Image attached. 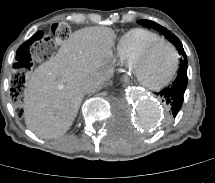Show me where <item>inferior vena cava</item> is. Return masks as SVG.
Listing matches in <instances>:
<instances>
[{
    "label": "inferior vena cava",
    "mask_w": 215,
    "mask_h": 183,
    "mask_svg": "<svg viewBox=\"0 0 215 183\" xmlns=\"http://www.w3.org/2000/svg\"><path fill=\"white\" fill-rule=\"evenodd\" d=\"M103 81H104V77H101L100 79L95 80V81H92V80L85 81L81 86L82 91L84 93L95 92L96 90H98L100 88Z\"/></svg>",
    "instance_id": "inferior-vena-cava-1"
}]
</instances>
